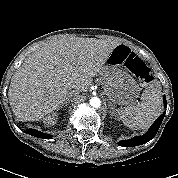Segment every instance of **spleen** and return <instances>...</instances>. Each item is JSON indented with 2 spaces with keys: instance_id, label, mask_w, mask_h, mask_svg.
Instances as JSON below:
<instances>
[{
  "instance_id": "3e777b00",
  "label": "spleen",
  "mask_w": 178,
  "mask_h": 178,
  "mask_svg": "<svg viewBox=\"0 0 178 178\" xmlns=\"http://www.w3.org/2000/svg\"><path fill=\"white\" fill-rule=\"evenodd\" d=\"M161 85L158 81H152L142 93L141 103L117 109L120 120L130 129L140 130L151 125L161 108Z\"/></svg>"
}]
</instances>
